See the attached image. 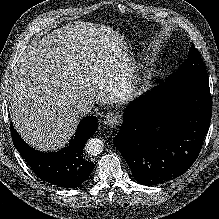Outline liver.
<instances>
[{"instance_id": "obj_1", "label": "liver", "mask_w": 219, "mask_h": 219, "mask_svg": "<svg viewBox=\"0 0 219 219\" xmlns=\"http://www.w3.org/2000/svg\"><path fill=\"white\" fill-rule=\"evenodd\" d=\"M122 40L110 27L79 21L34 41L19 57L7 101L13 125L29 145L41 151L64 147L80 121L79 102L125 101L123 67L114 58Z\"/></svg>"}]
</instances>
